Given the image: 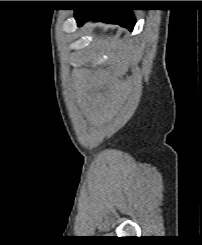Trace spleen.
Wrapping results in <instances>:
<instances>
[{
    "label": "spleen",
    "instance_id": "spleen-1",
    "mask_svg": "<svg viewBox=\"0 0 202 245\" xmlns=\"http://www.w3.org/2000/svg\"><path fill=\"white\" fill-rule=\"evenodd\" d=\"M96 44L101 49L117 50L122 46V40L116 37H107L106 39L99 40Z\"/></svg>",
    "mask_w": 202,
    "mask_h": 245
}]
</instances>
